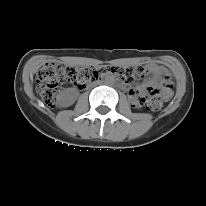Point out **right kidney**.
I'll use <instances>...</instances> for the list:
<instances>
[{
  "instance_id": "right-kidney-1",
  "label": "right kidney",
  "mask_w": 206,
  "mask_h": 206,
  "mask_svg": "<svg viewBox=\"0 0 206 206\" xmlns=\"http://www.w3.org/2000/svg\"><path fill=\"white\" fill-rule=\"evenodd\" d=\"M73 100L67 96H60L59 97V104L61 106H69L72 104Z\"/></svg>"
}]
</instances>
